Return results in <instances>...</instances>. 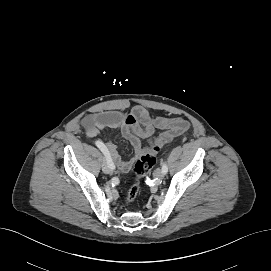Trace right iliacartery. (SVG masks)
Returning a JSON list of instances; mask_svg holds the SVG:
<instances>
[{"label": "right iliac artery", "mask_w": 271, "mask_h": 271, "mask_svg": "<svg viewBox=\"0 0 271 271\" xmlns=\"http://www.w3.org/2000/svg\"><path fill=\"white\" fill-rule=\"evenodd\" d=\"M95 144L102 151V153L104 154V156H105V158L107 160V163H108L109 167L111 168V170H114L115 165H114V163H113V161L111 159L110 153H109L107 147L105 146V144L100 140L95 141Z\"/></svg>", "instance_id": "82829eb1"}]
</instances>
